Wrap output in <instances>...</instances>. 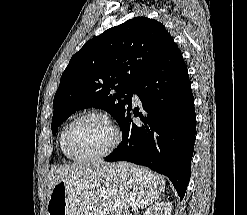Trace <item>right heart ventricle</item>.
I'll return each instance as SVG.
<instances>
[{
	"instance_id": "right-heart-ventricle-1",
	"label": "right heart ventricle",
	"mask_w": 247,
	"mask_h": 215,
	"mask_svg": "<svg viewBox=\"0 0 247 215\" xmlns=\"http://www.w3.org/2000/svg\"><path fill=\"white\" fill-rule=\"evenodd\" d=\"M68 125H69V123H65V124L63 125V127L61 128V131H60V134H59V146H60V150H61L62 154H63L66 158L72 159V158L69 156V154H68V152H67V150H66V146H65V134H66V130H67V128H68ZM72 160H73V159H72Z\"/></svg>"
}]
</instances>
